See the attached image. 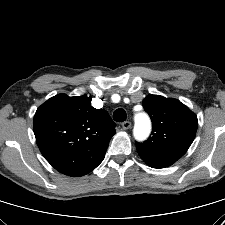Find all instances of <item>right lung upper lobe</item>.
<instances>
[{"instance_id": "cb5924a9", "label": "right lung upper lobe", "mask_w": 225, "mask_h": 225, "mask_svg": "<svg viewBox=\"0 0 225 225\" xmlns=\"http://www.w3.org/2000/svg\"><path fill=\"white\" fill-rule=\"evenodd\" d=\"M34 134L44 158L60 173L79 177L104 159L115 123L91 97L58 94L36 111Z\"/></svg>"}]
</instances>
